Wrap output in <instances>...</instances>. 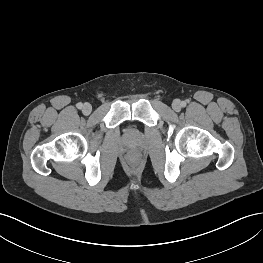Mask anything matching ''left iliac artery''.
Returning a JSON list of instances; mask_svg holds the SVG:
<instances>
[{"mask_svg": "<svg viewBox=\"0 0 263 263\" xmlns=\"http://www.w3.org/2000/svg\"><path fill=\"white\" fill-rule=\"evenodd\" d=\"M186 106V102H182V107H185Z\"/></svg>", "mask_w": 263, "mask_h": 263, "instance_id": "1", "label": "left iliac artery"}]
</instances>
